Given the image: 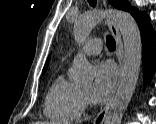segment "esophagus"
Wrapping results in <instances>:
<instances>
[{
	"label": "esophagus",
	"instance_id": "34e87169",
	"mask_svg": "<svg viewBox=\"0 0 156 124\" xmlns=\"http://www.w3.org/2000/svg\"><path fill=\"white\" fill-rule=\"evenodd\" d=\"M104 5L106 6V1H103ZM106 25L108 26L110 32L112 33L115 42H116V56H117V60L119 63V68H120V75L122 73V56H123V43H122V39H121V35L119 32V29L117 27V25L115 24V22L110 19L107 18L106 19ZM118 86V84H117ZM114 95H112V97L109 99V101L106 103V105L104 106L103 109L100 110V112L97 114V116L95 117V119L93 120V124H102L106 118V115L111 107L112 101H113Z\"/></svg>",
	"mask_w": 156,
	"mask_h": 124
}]
</instances>
